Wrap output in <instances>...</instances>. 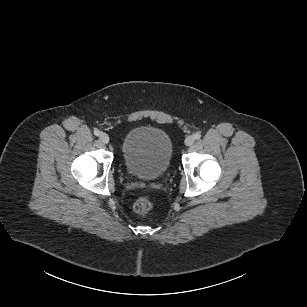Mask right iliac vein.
<instances>
[{
    "label": "right iliac vein",
    "instance_id": "obj_1",
    "mask_svg": "<svg viewBox=\"0 0 307 307\" xmlns=\"http://www.w3.org/2000/svg\"><path fill=\"white\" fill-rule=\"evenodd\" d=\"M99 139L102 143L107 144L110 141L109 136L106 133H101Z\"/></svg>",
    "mask_w": 307,
    "mask_h": 307
}]
</instances>
